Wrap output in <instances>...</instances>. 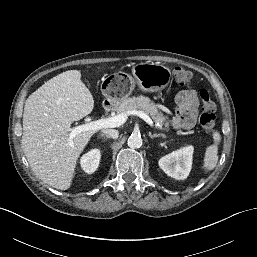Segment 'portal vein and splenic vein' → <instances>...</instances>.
Here are the masks:
<instances>
[{"mask_svg": "<svg viewBox=\"0 0 257 257\" xmlns=\"http://www.w3.org/2000/svg\"><path fill=\"white\" fill-rule=\"evenodd\" d=\"M128 114L137 115L140 118H142L146 123H148L151 127L154 126L152 119L145 112L139 110H132L129 113H121L113 117L100 119L96 121H87L85 124L68 128V132H70L69 138L73 139L77 134L85 131H97L102 128H113L121 126L126 122Z\"/></svg>", "mask_w": 257, "mask_h": 257, "instance_id": "18ae733b", "label": "portal vein and splenic vein"}]
</instances>
